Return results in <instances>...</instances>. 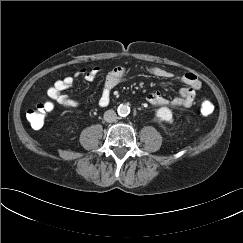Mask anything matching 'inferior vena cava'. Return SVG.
Instances as JSON below:
<instances>
[{
	"label": "inferior vena cava",
	"instance_id": "602c4592",
	"mask_svg": "<svg viewBox=\"0 0 243 243\" xmlns=\"http://www.w3.org/2000/svg\"><path fill=\"white\" fill-rule=\"evenodd\" d=\"M117 119V115L114 110H107L104 113V120L108 123H112Z\"/></svg>",
	"mask_w": 243,
	"mask_h": 243
}]
</instances>
